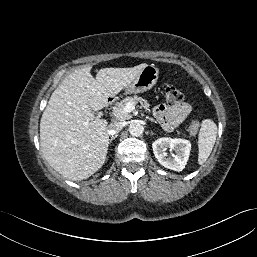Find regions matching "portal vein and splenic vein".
Wrapping results in <instances>:
<instances>
[{"label":"portal vein and splenic vein","instance_id":"18ae733b","mask_svg":"<svg viewBox=\"0 0 257 257\" xmlns=\"http://www.w3.org/2000/svg\"><path fill=\"white\" fill-rule=\"evenodd\" d=\"M135 109V104L134 103H127L126 106L124 107V112L129 113Z\"/></svg>","mask_w":257,"mask_h":257}]
</instances>
